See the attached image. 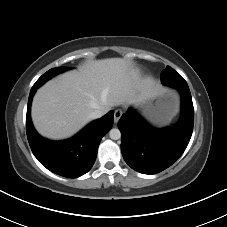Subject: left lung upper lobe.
<instances>
[{
	"mask_svg": "<svg viewBox=\"0 0 227 227\" xmlns=\"http://www.w3.org/2000/svg\"><path fill=\"white\" fill-rule=\"evenodd\" d=\"M161 80L164 84L169 86L187 85L184 78L170 66H167V68L162 71Z\"/></svg>",
	"mask_w": 227,
	"mask_h": 227,
	"instance_id": "5c2ea615",
	"label": "left lung upper lobe"
}]
</instances>
